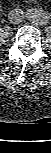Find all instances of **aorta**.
<instances>
[{"label": "aorta", "mask_w": 51, "mask_h": 153, "mask_svg": "<svg viewBox=\"0 0 51 153\" xmlns=\"http://www.w3.org/2000/svg\"><path fill=\"white\" fill-rule=\"evenodd\" d=\"M29 19L33 22L45 25L49 22L50 17L47 13L40 10H31L29 12Z\"/></svg>", "instance_id": "obj_1"}]
</instances>
